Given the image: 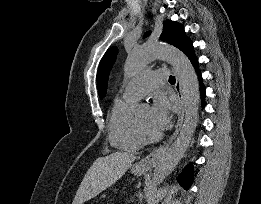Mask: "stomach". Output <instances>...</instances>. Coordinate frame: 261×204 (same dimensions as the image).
<instances>
[{"instance_id":"stomach-1","label":"stomach","mask_w":261,"mask_h":204,"mask_svg":"<svg viewBox=\"0 0 261 204\" xmlns=\"http://www.w3.org/2000/svg\"><path fill=\"white\" fill-rule=\"evenodd\" d=\"M148 170L149 168L142 167L140 163L133 165L131 169L132 173H134L135 175H142Z\"/></svg>"}]
</instances>
